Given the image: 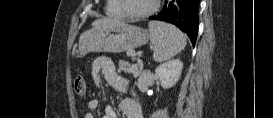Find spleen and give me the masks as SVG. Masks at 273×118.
<instances>
[{"label":"spleen","mask_w":273,"mask_h":118,"mask_svg":"<svg viewBox=\"0 0 273 118\" xmlns=\"http://www.w3.org/2000/svg\"><path fill=\"white\" fill-rule=\"evenodd\" d=\"M148 26L156 62L169 60L185 48L186 36L175 26L159 21H151Z\"/></svg>","instance_id":"1"}]
</instances>
